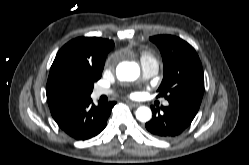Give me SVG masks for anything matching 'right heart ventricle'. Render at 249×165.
Returning <instances> with one entry per match:
<instances>
[{"mask_svg":"<svg viewBox=\"0 0 249 165\" xmlns=\"http://www.w3.org/2000/svg\"><path fill=\"white\" fill-rule=\"evenodd\" d=\"M140 54H141V59L142 58L153 59V57L151 56V54L148 53V52H146V51H142Z\"/></svg>","mask_w":249,"mask_h":165,"instance_id":"e07e8e85","label":"right heart ventricle"}]
</instances>
